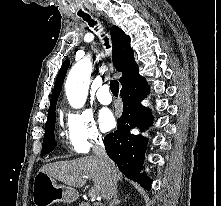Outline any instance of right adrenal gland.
<instances>
[{"mask_svg":"<svg viewBox=\"0 0 221 206\" xmlns=\"http://www.w3.org/2000/svg\"><path fill=\"white\" fill-rule=\"evenodd\" d=\"M122 202V200L118 199V191L115 193L114 199L111 202L110 206H117L118 204H120Z\"/></svg>","mask_w":221,"mask_h":206,"instance_id":"1","label":"right adrenal gland"}]
</instances>
